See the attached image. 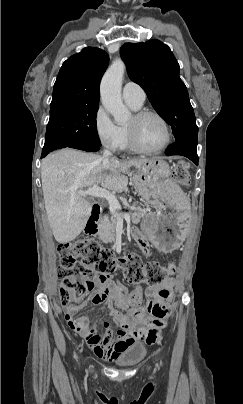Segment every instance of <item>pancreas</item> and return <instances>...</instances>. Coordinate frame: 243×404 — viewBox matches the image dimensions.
Segmentation results:
<instances>
[{
    "label": "pancreas",
    "instance_id": "1",
    "mask_svg": "<svg viewBox=\"0 0 243 404\" xmlns=\"http://www.w3.org/2000/svg\"><path fill=\"white\" fill-rule=\"evenodd\" d=\"M147 208H136V212L133 214V223L139 224L140 218H143L142 213L146 214ZM122 212L121 210H117L111 216L105 219V222L99 224L98 226V236L99 240H102L104 244H108V242H114L115 238V230L117 224V218H120Z\"/></svg>",
    "mask_w": 243,
    "mask_h": 404
}]
</instances>
